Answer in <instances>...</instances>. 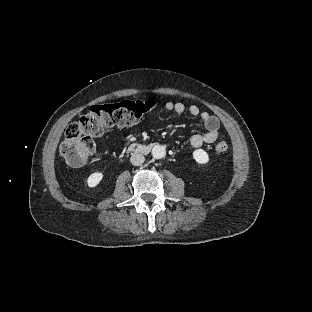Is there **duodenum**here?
Instances as JSON below:
<instances>
[{"instance_id":"410a0bca","label":"duodenum","mask_w":312,"mask_h":312,"mask_svg":"<svg viewBox=\"0 0 312 312\" xmlns=\"http://www.w3.org/2000/svg\"><path fill=\"white\" fill-rule=\"evenodd\" d=\"M154 144L134 143L127 147V151L131 153L146 154Z\"/></svg>"}]
</instances>
